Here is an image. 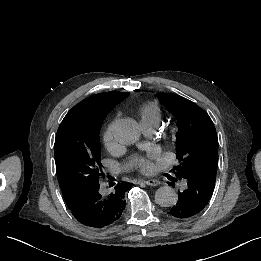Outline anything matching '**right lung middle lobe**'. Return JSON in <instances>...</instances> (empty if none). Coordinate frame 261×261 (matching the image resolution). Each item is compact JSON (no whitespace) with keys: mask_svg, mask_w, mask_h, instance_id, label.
<instances>
[{"mask_svg":"<svg viewBox=\"0 0 261 261\" xmlns=\"http://www.w3.org/2000/svg\"><path fill=\"white\" fill-rule=\"evenodd\" d=\"M103 119L67 113L55 140V163L65 202L98 183L103 174L99 130Z\"/></svg>","mask_w":261,"mask_h":261,"instance_id":"dd1d6c3e","label":"right lung middle lobe"}]
</instances>
